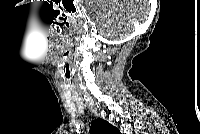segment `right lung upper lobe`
Returning <instances> with one entry per match:
<instances>
[{
	"label": "right lung upper lobe",
	"mask_w": 200,
	"mask_h": 134,
	"mask_svg": "<svg viewBox=\"0 0 200 134\" xmlns=\"http://www.w3.org/2000/svg\"><path fill=\"white\" fill-rule=\"evenodd\" d=\"M92 134H117L119 130L103 119H97L92 122Z\"/></svg>",
	"instance_id": "1"
}]
</instances>
